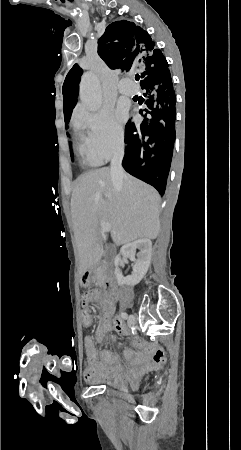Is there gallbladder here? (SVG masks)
Instances as JSON below:
<instances>
[{"instance_id":"bac80fb5","label":"gallbladder","mask_w":241,"mask_h":450,"mask_svg":"<svg viewBox=\"0 0 241 450\" xmlns=\"http://www.w3.org/2000/svg\"><path fill=\"white\" fill-rule=\"evenodd\" d=\"M110 254H106V258H109Z\"/></svg>"}]
</instances>
